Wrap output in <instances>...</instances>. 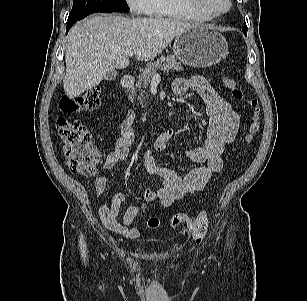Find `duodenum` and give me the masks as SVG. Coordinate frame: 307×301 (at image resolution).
Wrapping results in <instances>:
<instances>
[{
	"instance_id": "410a0bca",
	"label": "duodenum",
	"mask_w": 307,
	"mask_h": 301,
	"mask_svg": "<svg viewBox=\"0 0 307 301\" xmlns=\"http://www.w3.org/2000/svg\"><path fill=\"white\" fill-rule=\"evenodd\" d=\"M135 84V77L132 75L125 76L123 79V88L126 91L131 90Z\"/></svg>"
}]
</instances>
